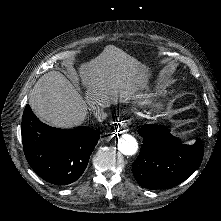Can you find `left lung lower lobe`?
I'll return each mask as SVG.
<instances>
[{
	"label": "left lung lower lobe",
	"instance_id": "left-lung-lower-lobe-1",
	"mask_svg": "<svg viewBox=\"0 0 221 221\" xmlns=\"http://www.w3.org/2000/svg\"><path fill=\"white\" fill-rule=\"evenodd\" d=\"M143 145L132 164V172L140 186L168 189L177 186L199 167L203 159L200 139L184 145L171 135L166 126L148 124L139 129Z\"/></svg>",
	"mask_w": 221,
	"mask_h": 221
}]
</instances>
